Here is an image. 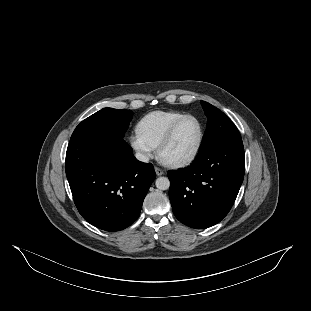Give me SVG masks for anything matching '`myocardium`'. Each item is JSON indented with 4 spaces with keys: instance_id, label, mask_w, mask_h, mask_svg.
<instances>
[{
    "instance_id": "myocardium-1",
    "label": "myocardium",
    "mask_w": 311,
    "mask_h": 311,
    "mask_svg": "<svg viewBox=\"0 0 311 311\" xmlns=\"http://www.w3.org/2000/svg\"><path fill=\"white\" fill-rule=\"evenodd\" d=\"M189 118H195L200 123V127H201L200 139H199L196 150L187 159L180 160V161H174V162L165 161L163 159L164 150L172 143V141L176 135V132H177L178 128L181 126V124ZM205 137H206V126H205L204 122L202 121V119L195 114H186L185 116L178 119L172 125V127L169 129V131L167 132L165 137L159 143V145L157 147L158 157L163 164H165L166 166H168L170 168H181V167L189 166L192 163H194L197 160V158L199 157V155L203 149V146H204Z\"/></svg>"
}]
</instances>
